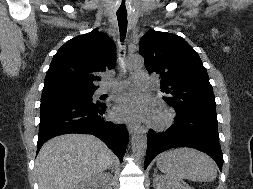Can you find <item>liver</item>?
Masks as SVG:
<instances>
[{
	"label": "liver",
	"instance_id": "1",
	"mask_svg": "<svg viewBox=\"0 0 253 189\" xmlns=\"http://www.w3.org/2000/svg\"><path fill=\"white\" fill-rule=\"evenodd\" d=\"M113 152L98 138L67 134L48 140L35 164L39 189H75L84 180L109 169Z\"/></svg>",
	"mask_w": 253,
	"mask_h": 189
}]
</instances>
